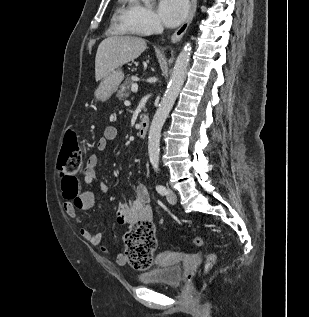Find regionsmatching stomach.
Returning a JSON list of instances; mask_svg holds the SVG:
<instances>
[{"instance_id":"stomach-1","label":"stomach","mask_w":309,"mask_h":317,"mask_svg":"<svg viewBox=\"0 0 309 317\" xmlns=\"http://www.w3.org/2000/svg\"><path fill=\"white\" fill-rule=\"evenodd\" d=\"M124 74L121 70L111 72L106 78L103 79L99 87L95 91L96 99L100 101L108 100L112 94L117 90L122 82Z\"/></svg>"}]
</instances>
